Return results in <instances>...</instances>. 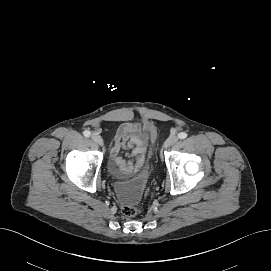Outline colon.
<instances>
[{
  "instance_id": "obj_1",
  "label": "colon",
  "mask_w": 271,
  "mask_h": 271,
  "mask_svg": "<svg viewBox=\"0 0 271 271\" xmlns=\"http://www.w3.org/2000/svg\"><path fill=\"white\" fill-rule=\"evenodd\" d=\"M121 212L125 217L131 218L139 213V208L133 204H125L121 207Z\"/></svg>"
}]
</instances>
